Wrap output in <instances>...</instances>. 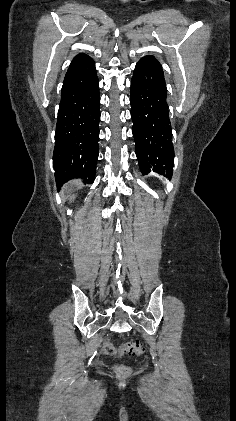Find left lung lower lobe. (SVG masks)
Here are the masks:
<instances>
[{
	"label": "left lung lower lobe",
	"instance_id": "obj_1",
	"mask_svg": "<svg viewBox=\"0 0 236 421\" xmlns=\"http://www.w3.org/2000/svg\"><path fill=\"white\" fill-rule=\"evenodd\" d=\"M167 88L161 64L145 56L131 80V117L135 151L143 175L151 171L171 179L174 164Z\"/></svg>",
	"mask_w": 236,
	"mask_h": 421
}]
</instances>
